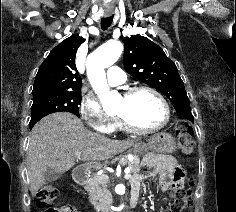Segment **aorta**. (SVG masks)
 <instances>
[{"label":"aorta","instance_id":"aorta-1","mask_svg":"<svg viewBox=\"0 0 236 212\" xmlns=\"http://www.w3.org/2000/svg\"><path fill=\"white\" fill-rule=\"evenodd\" d=\"M122 51L123 46L119 41H108L87 58L88 79L104 107L112 104L118 98V94L109 90L104 69L113 65L119 59ZM115 190L117 194L121 193L119 188ZM123 207L124 205H121V208Z\"/></svg>","mask_w":236,"mask_h":212}]
</instances>
